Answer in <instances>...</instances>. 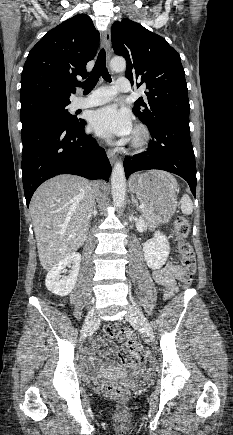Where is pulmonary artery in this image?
I'll list each match as a JSON object with an SVG mask.
<instances>
[{
  "label": "pulmonary artery",
  "instance_id": "pulmonary-artery-1",
  "mask_svg": "<svg viewBox=\"0 0 233 435\" xmlns=\"http://www.w3.org/2000/svg\"><path fill=\"white\" fill-rule=\"evenodd\" d=\"M128 91H130L129 80L125 78H119L115 87L104 86L93 91L86 97H76L73 101L72 107L74 109H80L101 105L113 99L117 93Z\"/></svg>",
  "mask_w": 233,
  "mask_h": 435
}]
</instances>
